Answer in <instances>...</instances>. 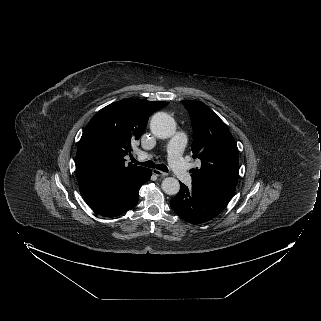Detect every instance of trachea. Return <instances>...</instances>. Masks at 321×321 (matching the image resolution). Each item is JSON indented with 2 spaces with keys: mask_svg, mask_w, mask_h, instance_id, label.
Returning <instances> with one entry per match:
<instances>
[{
  "mask_svg": "<svg viewBox=\"0 0 321 321\" xmlns=\"http://www.w3.org/2000/svg\"><path fill=\"white\" fill-rule=\"evenodd\" d=\"M131 160H132V163L139 164V165H142V166H145V167L156 168V169H158L160 171H163V172H168L169 171L168 168L164 164H155L152 161L138 162L134 158H132Z\"/></svg>",
  "mask_w": 321,
  "mask_h": 321,
  "instance_id": "trachea-1",
  "label": "trachea"
}]
</instances>
